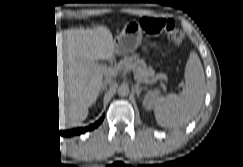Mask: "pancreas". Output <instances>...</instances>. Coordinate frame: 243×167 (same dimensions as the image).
Segmentation results:
<instances>
[{
	"instance_id": "pancreas-1",
	"label": "pancreas",
	"mask_w": 243,
	"mask_h": 167,
	"mask_svg": "<svg viewBox=\"0 0 243 167\" xmlns=\"http://www.w3.org/2000/svg\"><path fill=\"white\" fill-rule=\"evenodd\" d=\"M118 70L133 71L134 78L139 83L148 84L151 80L157 78L167 81L166 74L155 75V71L152 67H147L144 60L139 59L137 55L127 56L120 60L117 65Z\"/></svg>"
}]
</instances>
